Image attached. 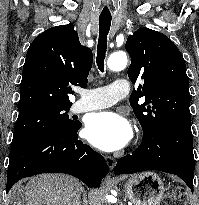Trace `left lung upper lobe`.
I'll use <instances>...</instances> for the list:
<instances>
[{
	"label": "left lung upper lobe",
	"mask_w": 199,
	"mask_h": 205,
	"mask_svg": "<svg viewBox=\"0 0 199 205\" xmlns=\"http://www.w3.org/2000/svg\"><path fill=\"white\" fill-rule=\"evenodd\" d=\"M125 48L131 57L130 80L134 84L144 81L130 96L143 135L157 134L171 124L191 125L189 79L175 44L164 34L144 27L128 37ZM143 96L145 102L139 105Z\"/></svg>",
	"instance_id": "5c2ea615"
}]
</instances>
